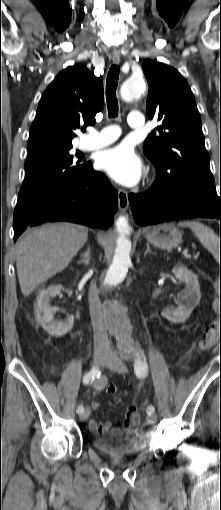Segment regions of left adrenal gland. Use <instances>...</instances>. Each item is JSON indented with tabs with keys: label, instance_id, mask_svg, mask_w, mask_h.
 <instances>
[{
	"label": "left adrenal gland",
	"instance_id": "left-adrenal-gland-1",
	"mask_svg": "<svg viewBox=\"0 0 221 510\" xmlns=\"http://www.w3.org/2000/svg\"><path fill=\"white\" fill-rule=\"evenodd\" d=\"M146 246H147V249H146V251L144 252V256H145V255H147L148 253H150V254H155V252L151 251V249H150V245H149V244H147Z\"/></svg>",
	"mask_w": 221,
	"mask_h": 510
}]
</instances>
